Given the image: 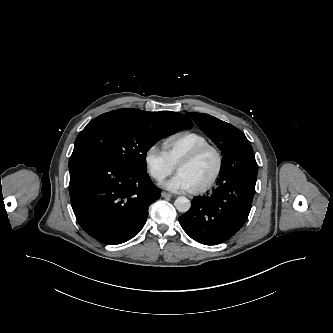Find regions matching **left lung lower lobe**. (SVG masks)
Segmentation results:
<instances>
[{
	"label": "left lung lower lobe",
	"instance_id": "left-lung-lower-lobe-1",
	"mask_svg": "<svg viewBox=\"0 0 333 333\" xmlns=\"http://www.w3.org/2000/svg\"><path fill=\"white\" fill-rule=\"evenodd\" d=\"M258 165L250 143L224 156L218 187L194 197L191 208L179 217L183 230L205 245L222 243L245 224L255 193Z\"/></svg>",
	"mask_w": 333,
	"mask_h": 333
}]
</instances>
